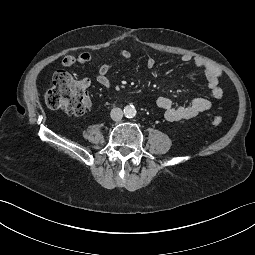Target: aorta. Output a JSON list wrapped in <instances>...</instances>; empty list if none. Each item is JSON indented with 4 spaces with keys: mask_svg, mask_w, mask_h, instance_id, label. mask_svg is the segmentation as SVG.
I'll return each mask as SVG.
<instances>
[{
    "mask_svg": "<svg viewBox=\"0 0 255 255\" xmlns=\"http://www.w3.org/2000/svg\"><path fill=\"white\" fill-rule=\"evenodd\" d=\"M124 114L128 118H132L136 115V109L133 105H127L124 107Z\"/></svg>",
    "mask_w": 255,
    "mask_h": 255,
    "instance_id": "aorta-1",
    "label": "aorta"
}]
</instances>
